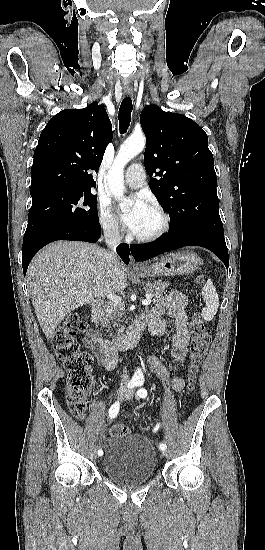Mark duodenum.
Segmentation results:
<instances>
[{
    "mask_svg": "<svg viewBox=\"0 0 265 550\" xmlns=\"http://www.w3.org/2000/svg\"><path fill=\"white\" fill-rule=\"evenodd\" d=\"M102 302L97 300L90 305V313L92 318L95 320L100 312ZM143 326L138 322L132 329L126 333L113 338L112 340L105 341L110 344L115 350H127L134 346L141 335Z\"/></svg>",
    "mask_w": 265,
    "mask_h": 550,
    "instance_id": "1",
    "label": "duodenum"
}]
</instances>
